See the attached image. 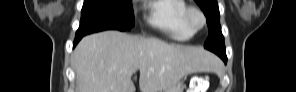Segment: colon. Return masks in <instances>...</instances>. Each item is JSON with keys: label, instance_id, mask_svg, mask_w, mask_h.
<instances>
[{"label": "colon", "instance_id": "colon-1", "mask_svg": "<svg viewBox=\"0 0 296 92\" xmlns=\"http://www.w3.org/2000/svg\"><path fill=\"white\" fill-rule=\"evenodd\" d=\"M206 85V78L203 75H197L191 79L188 92H204Z\"/></svg>", "mask_w": 296, "mask_h": 92}]
</instances>
